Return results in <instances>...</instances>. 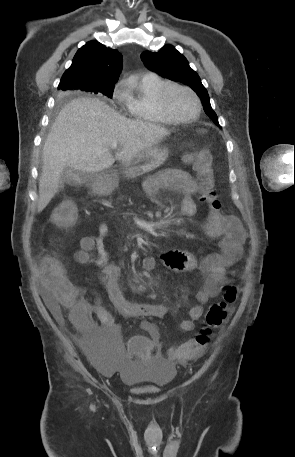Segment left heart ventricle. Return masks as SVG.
Instances as JSON below:
<instances>
[{"label": "left heart ventricle", "instance_id": "b2bd125f", "mask_svg": "<svg viewBox=\"0 0 295 457\" xmlns=\"http://www.w3.org/2000/svg\"><path fill=\"white\" fill-rule=\"evenodd\" d=\"M167 103L172 113L178 117H190L196 110L193 97L182 89H172L168 95Z\"/></svg>", "mask_w": 295, "mask_h": 457}]
</instances>
